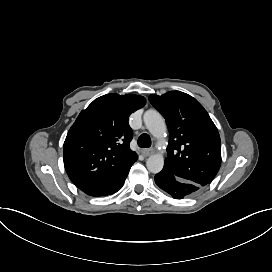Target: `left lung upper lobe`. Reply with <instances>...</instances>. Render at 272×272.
Returning <instances> with one entry per match:
<instances>
[{"label":"left lung upper lobe","instance_id":"left-lung-upper-lobe-1","mask_svg":"<svg viewBox=\"0 0 272 272\" xmlns=\"http://www.w3.org/2000/svg\"><path fill=\"white\" fill-rule=\"evenodd\" d=\"M149 100L166 119L170 133L163 169L202 187L209 184L221 165V142L207 111L180 91L152 94Z\"/></svg>","mask_w":272,"mask_h":272}]
</instances>
